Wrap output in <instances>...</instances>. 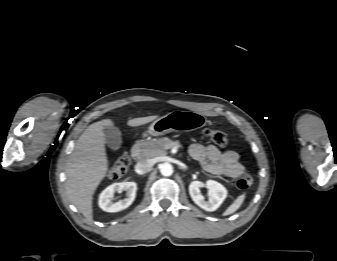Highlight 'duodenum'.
Masks as SVG:
<instances>
[{
    "label": "duodenum",
    "mask_w": 337,
    "mask_h": 261,
    "mask_svg": "<svg viewBox=\"0 0 337 261\" xmlns=\"http://www.w3.org/2000/svg\"><path fill=\"white\" fill-rule=\"evenodd\" d=\"M140 145H141V139L137 140L131 149V156L134 159H137L140 156Z\"/></svg>",
    "instance_id": "obj_1"
}]
</instances>
